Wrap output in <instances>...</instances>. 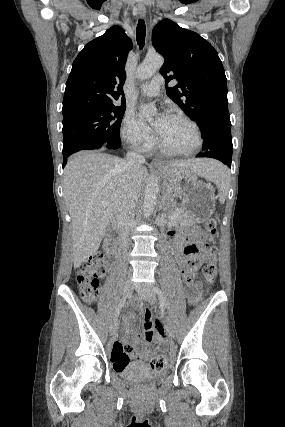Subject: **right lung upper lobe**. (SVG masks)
I'll use <instances>...</instances> for the list:
<instances>
[{"label": "right lung upper lobe", "instance_id": "right-lung-upper-lobe-1", "mask_svg": "<svg viewBox=\"0 0 285 427\" xmlns=\"http://www.w3.org/2000/svg\"><path fill=\"white\" fill-rule=\"evenodd\" d=\"M131 48L130 39L119 26L111 27L85 45L66 82L63 118L113 105L115 100L126 104L122 87Z\"/></svg>", "mask_w": 285, "mask_h": 427}]
</instances>
